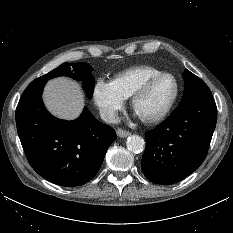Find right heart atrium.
I'll return each mask as SVG.
<instances>
[{"mask_svg": "<svg viewBox=\"0 0 233 233\" xmlns=\"http://www.w3.org/2000/svg\"><path fill=\"white\" fill-rule=\"evenodd\" d=\"M93 99L102 116L114 122L123 108L125 99L118 93L112 82L97 80L93 89Z\"/></svg>", "mask_w": 233, "mask_h": 233, "instance_id": "right-heart-atrium-1", "label": "right heart atrium"}]
</instances>
